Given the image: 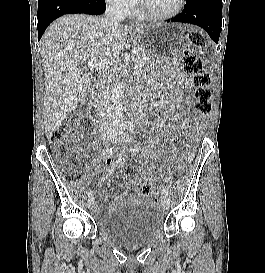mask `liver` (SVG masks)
I'll return each instance as SVG.
<instances>
[{"label":"liver","mask_w":265,"mask_h":273,"mask_svg":"<svg viewBox=\"0 0 265 273\" xmlns=\"http://www.w3.org/2000/svg\"><path fill=\"white\" fill-rule=\"evenodd\" d=\"M149 27L136 25L137 30ZM132 29L118 26L108 34L101 19L83 14L65 15L55 20L42 38V62L45 75L43 118L50 138L84 99L92 75L86 73L91 58L114 63Z\"/></svg>","instance_id":"obj_1"}]
</instances>
